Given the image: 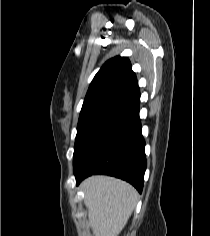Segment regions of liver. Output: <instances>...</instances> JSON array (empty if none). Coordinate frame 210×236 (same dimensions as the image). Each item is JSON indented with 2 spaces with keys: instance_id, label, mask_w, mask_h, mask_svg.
Listing matches in <instances>:
<instances>
[{
  "instance_id": "liver-1",
  "label": "liver",
  "mask_w": 210,
  "mask_h": 236,
  "mask_svg": "<svg viewBox=\"0 0 210 236\" xmlns=\"http://www.w3.org/2000/svg\"><path fill=\"white\" fill-rule=\"evenodd\" d=\"M81 187L94 236H118L137 203L134 187L110 176H91Z\"/></svg>"
}]
</instances>
